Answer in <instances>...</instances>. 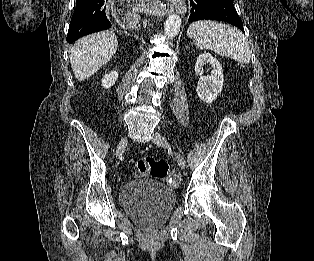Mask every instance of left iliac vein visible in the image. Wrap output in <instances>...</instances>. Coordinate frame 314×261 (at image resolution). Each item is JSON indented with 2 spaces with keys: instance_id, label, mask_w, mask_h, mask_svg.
Returning a JSON list of instances; mask_svg holds the SVG:
<instances>
[{
  "instance_id": "left-iliac-vein-1",
  "label": "left iliac vein",
  "mask_w": 314,
  "mask_h": 261,
  "mask_svg": "<svg viewBox=\"0 0 314 261\" xmlns=\"http://www.w3.org/2000/svg\"><path fill=\"white\" fill-rule=\"evenodd\" d=\"M152 141H153V143H155V144L158 145V146L170 147V145H169L167 139H166L162 134H160V133H158V132H155V133L153 134ZM174 153H175V157H176V160H177V162H178V165H179L182 169H184L185 166H186L184 157H183L180 153H178V152H176V151H175Z\"/></svg>"
}]
</instances>
